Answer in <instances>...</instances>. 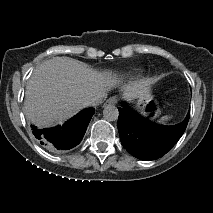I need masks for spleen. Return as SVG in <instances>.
Listing matches in <instances>:
<instances>
[{"mask_svg": "<svg viewBox=\"0 0 213 213\" xmlns=\"http://www.w3.org/2000/svg\"><path fill=\"white\" fill-rule=\"evenodd\" d=\"M173 118V115H165L159 119V123L165 124Z\"/></svg>", "mask_w": 213, "mask_h": 213, "instance_id": "obj_1", "label": "spleen"}]
</instances>
